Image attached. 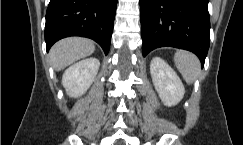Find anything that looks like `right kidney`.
I'll list each match as a JSON object with an SVG mask.
<instances>
[{
  "instance_id": "right-kidney-1",
  "label": "right kidney",
  "mask_w": 243,
  "mask_h": 145,
  "mask_svg": "<svg viewBox=\"0 0 243 145\" xmlns=\"http://www.w3.org/2000/svg\"><path fill=\"white\" fill-rule=\"evenodd\" d=\"M100 67L96 58H87L71 65L63 74L62 85L70 97L83 95L93 83Z\"/></svg>"
}]
</instances>
